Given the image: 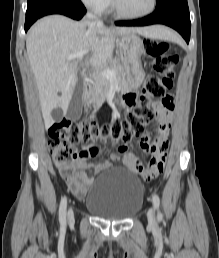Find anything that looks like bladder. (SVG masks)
<instances>
[{
    "instance_id": "31cf9c89",
    "label": "bladder",
    "mask_w": 219,
    "mask_h": 258,
    "mask_svg": "<svg viewBox=\"0 0 219 258\" xmlns=\"http://www.w3.org/2000/svg\"><path fill=\"white\" fill-rule=\"evenodd\" d=\"M144 186L139 177L127 169H111L95 178L84 199V206L107 220H124L133 216L143 202Z\"/></svg>"
}]
</instances>
